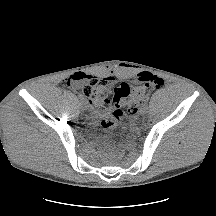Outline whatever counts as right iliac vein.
<instances>
[{
	"label": "right iliac vein",
	"mask_w": 216,
	"mask_h": 216,
	"mask_svg": "<svg viewBox=\"0 0 216 216\" xmlns=\"http://www.w3.org/2000/svg\"><path fill=\"white\" fill-rule=\"evenodd\" d=\"M80 107L82 109L83 112H86L87 111V108L85 106V103H83L82 105L80 104Z\"/></svg>",
	"instance_id": "right-iliac-vein-1"
}]
</instances>
